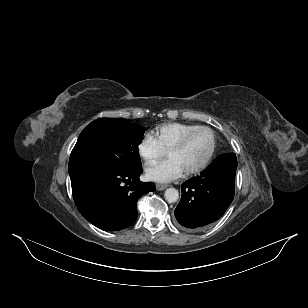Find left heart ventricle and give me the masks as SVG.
<instances>
[{"mask_svg":"<svg viewBox=\"0 0 308 308\" xmlns=\"http://www.w3.org/2000/svg\"><path fill=\"white\" fill-rule=\"evenodd\" d=\"M212 144V135L208 131H199L188 140L183 148L169 151L167 155L177 159L186 171L198 166L206 159Z\"/></svg>","mask_w":308,"mask_h":308,"instance_id":"1","label":"left heart ventricle"}]
</instances>
